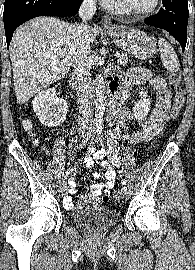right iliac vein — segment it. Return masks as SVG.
I'll return each mask as SVG.
<instances>
[{
    "instance_id": "63e3f726",
    "label": "right iliac vein",
    "mask_w": 195,
    "mask_h": 270,
    "mask_svg": "<svg viewBox=\"0 0 195 270\" xmlns=\"http://www.w3.org/2000/svg\"><path fill=\"white\" fill-rule=\"evenodd\" d=\"M86 136H87L86 132H81V133H79V137H80V138H85ZM67 191H68L67 182H64V183L62 184V187H61L62 195H65Z\"/></svg>"
}]
</instances>
